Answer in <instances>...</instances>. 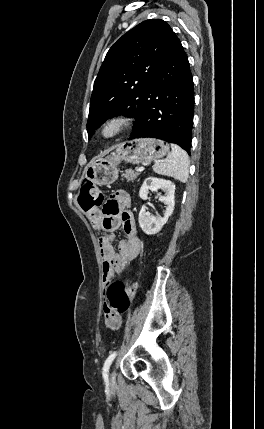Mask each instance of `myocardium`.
<instances>
[{
    "mask_svg": "<svg viewBox=\"0 0 264 429\" xmlns=\"http://www.w3.org/2000/svg\"><path fill=\"white\" fill-rule=\"evenodd\" d=\"M130 125V119L115 115L107 118L102 122L98 129V136L102 140H111L122 134Z\"/></svg>",
    "mask_w": 264,
    "mask_h": 429,
    "instance_id": "f54148a6",
    "label": "myocardium"
}]
</instances>
